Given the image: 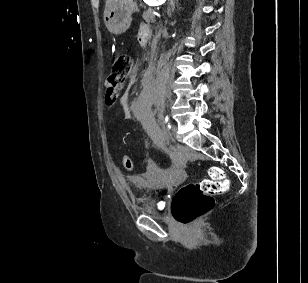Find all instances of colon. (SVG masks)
Wrapping results in <instances>:
<instances>
[{
	"mask_svg": "<svg viewBox=\"0 0 308 283\" xmlns=\"http://www.w3.org/2000/svg\"><path fill=\"white\" fill-rule=\"evenodd\" d=\"M131 69V57L124 53L118 54L113 60L107 81L114 86L122 85ZM122 163L128 170L133 168V161L127 155L123 156ZM208 174L209 178L187 184L175 194L172 213L179 223L188 225L203 216L214 207L215 197L229 190L230 183L222 169L211 167Z\"/></svg>",
	"mask_w": 308,
	"mask_h": 283,
	"instance_id": "5ec220e1",
	"label": "colon"
}]
</instances>
